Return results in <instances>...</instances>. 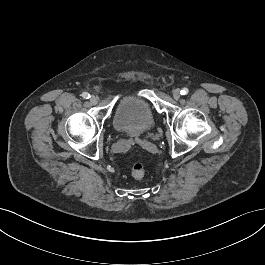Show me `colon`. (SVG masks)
<instances>
[{
  "label": "colon",
  "instance_id": "colon-1",
  "mask_svg": "<svg viewBox=\"0 0 265 265\" xmlns=\"http://www.w3.org/2000/svg\"><path fill=\"white\" fill-rule=\"evenodd\" d=\"M146 168L142 162H136L131 167V175L135 179H141L145 176Z\"/></svg>",
  "mask_w": 265,
  "mask_h": 265
}]
</instances>
